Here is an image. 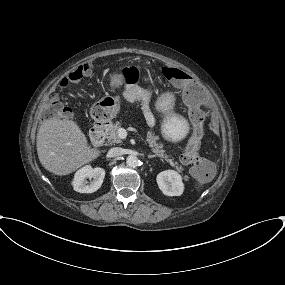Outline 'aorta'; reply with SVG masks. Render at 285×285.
<instances>
[{"instance_id":"1","label":"aorta","mask_w":285,"mask_h":285,"mask_svg":"<svg viewBox=\"0 0 285 285\" xmlns=\"http://www.w3.org/2000/svg\"><path fill=\"white\" fill-rule=\"evenodd\" d=\"M138 158L134 155H129L127 158H126V164L127 166L131 167V168H134L138 165Z\"/></svg>"}]
</instances>
